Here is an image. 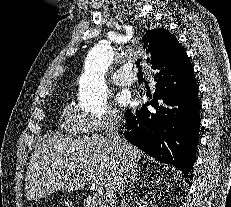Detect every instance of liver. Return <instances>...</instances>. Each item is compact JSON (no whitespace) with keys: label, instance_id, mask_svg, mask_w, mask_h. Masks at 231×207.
<instances>
[{"label":"liver","instance_id":"liver-1","mask_svg":"<svg viewBox=\"0 0 231 207\" xmlns=\"http://www.w3.org/2000/svg\"><path fill=\"white\" fill-rule=\"evenodd\" d=\"M144 152L122 139L115 150L101 135L71 139L44 137L33 151L26 172L28 200H40L57 190H80L85 179L101 185L105 201H117V180L121 173L137 168Z\"/></svg>","mask_w":231,"mask_h":207}]
</instances>
